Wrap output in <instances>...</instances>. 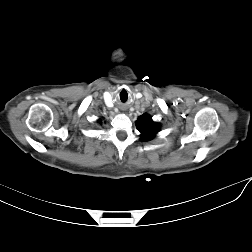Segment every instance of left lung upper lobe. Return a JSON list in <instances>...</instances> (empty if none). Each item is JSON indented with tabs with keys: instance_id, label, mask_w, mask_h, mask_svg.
Segmentation results:
<instances>
[{
	"instance_id": "obj_1",
	"label": "left lung upper lobe",
	"mask_w": 252,
	"mask_h": 252,
	"mask_svg": "<svg viewBox=\"0 0 252 252\" xmlns=\"http://www.w3.org/2000/svg\"><path fill=\"white\" fill-rule=\"evenodd\" d=\"M136 127L141 133V139L145 141L152 140L160 130L159 123H154L152 117L146 113L138 118Z\"/></svg>"
}]
</instances>
